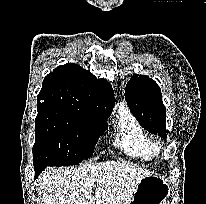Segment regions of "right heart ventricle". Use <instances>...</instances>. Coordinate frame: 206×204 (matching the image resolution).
Segmentation results:
<instances>
[{
    "mask_svg": "<svg viewBox=\"0 0 206 204\" xmlns=\"http://www.w3.org/2000/svg\"><path fill=\"white\" fill-rule=\"evenodd\" d=\"M115 144L128 156L143 161H151L156 156L155 141L125 107L116 116Z\"/></svg>",
    "mask_w": 206,
    "mask_h": 204,
    "instance_id": "right-heart-ventricle-1",
    "label": "right heart ventricle"
}]
</instances>
